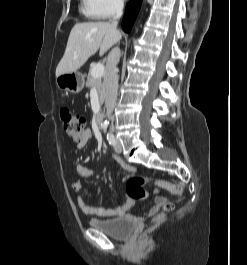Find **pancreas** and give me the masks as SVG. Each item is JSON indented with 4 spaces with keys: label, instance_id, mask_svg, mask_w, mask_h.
Masks as SVG:
<instances>
[{
    "label": "pancreas",
    "instance_id": "1",
    "mask_svg": "<svg viewBox=\"0 0 247 265\" xmlns=\"http://www.w3.org/2000/svg\"><path fill=\"white\" fill-rule=\"evenodd\" d=\"M92 68L89 70V73L87 76L86 87L89 89H91L92 87L96 88L98 95H99L100 103L102 104L104 97H105V92H106V77L105 75H102L101 77L94 78L91 74Z\"/></svg>",
    "mask_w": 247,
    "mask_h": 265
}]
</instances>
